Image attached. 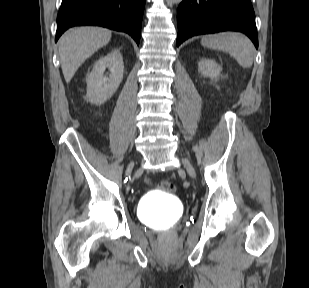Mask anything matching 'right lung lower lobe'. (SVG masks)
I'll list each match as a JSON object with an SVG mask.
<instances>
[{
  "label": "right lung lower lobe",
  "instance_id": "98d812e1",
  "mask_svg": "<svg viewBox=\"0 0 309 288\" xmlns=\"http://www.w3.org/2000/svg\"><path fill=\"white\" fill-rule=\"evenodd\" d=\"M145 0H62L55 41L73 26L97 25L130 34L139 45Z\"/></svg>",
  "mask_w": 309,
  "mask_h": 288
}]
</instances>
